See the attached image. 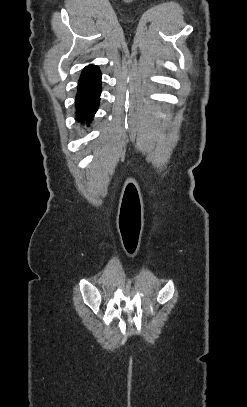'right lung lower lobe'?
I'll use <instances>...</instances> for the list:
<instances>
[{
	"instance_id": "98d812e1",
	"label": "right lung lower lobe",
	"mask_w": 247,
	"mask_h": 407,
	"mask_svg": "<svg viewBox=\"0 0 247 407\" xmlns=\"http://www.w3.org/2000/svg\"><path fill=\"white\" fill-rule=\"evenodd\" d=\"M101 94V72L98 66H86L79 78L75 100L76 117L89 127L96 113Z\"/></svg>"
}]
</instances>
